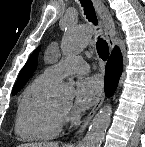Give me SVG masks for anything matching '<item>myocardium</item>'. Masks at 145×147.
Here are the masks:
<instances>
[{
  "label": "myocardium",
  "instance_id": "f54148a6",
  "mask_svg": "<svg viewBox=\"0 0 145 147\" xmlns=\"http://www.w3.org/2000/svg\"><path fill=\"white\" fill-rule=\"evenodd\" d=\"M59 110H60V111H63V109H60V108H59Z\"/></svg>",
  "mask_w": 145,
  "mask_h": 147
}]
</instances>
